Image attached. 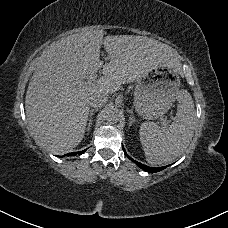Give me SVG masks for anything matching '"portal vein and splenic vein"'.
Masks as SVG:
<instances>
[{
    "instance_id": "1",
    "label": "portal vein and splenic vein",
    "mask_w": 228,
    "mask_h": 228,
    "mask_svg": "<svg viewBox=\"0 0 228 228\" xmlns=\"http://www.w3.org/2000/svg\"><path fill=\"white\" fill-rule=\"evenodd\" d=\"M103 59H104L105 61H107V58H106V57H104ZM97 77H98V76H97V73H96V74H94V75L89 79V81H90V82H93V81H95V80L97 79ZM161 125H162V126H167V125H168V122H167L166 120H164V121L161 122Z\"/></svg>"
}]
</instances>
